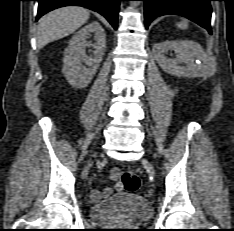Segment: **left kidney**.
<instances>
[{
	"mask_svg": "<svg viewBox=\"0 0 234 231\" xmlns=\"http://www.w3.org/2000/svg\"><path fill=\"white\" fill-rule=\"evenodd\" d=\"M173 50L175 59L164 54ZM153 52L159 66L167 73L177 77H209L216 71V62L209 57L203 48L190 40L163 41L153 46ZM185 63L186 66H180Z\"/></svg>",
	"mask_w": 234,
	"mask_h": 231,
	"instance_id": "5707ae66",
	"label": "left kidney"
}]
</instances>
